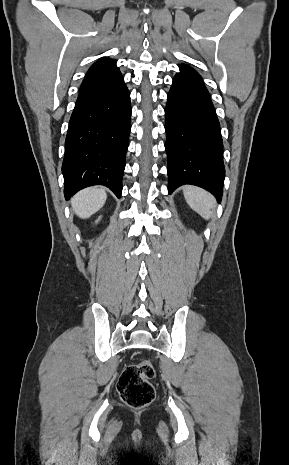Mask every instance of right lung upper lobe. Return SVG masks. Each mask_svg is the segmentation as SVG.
<instances>
[{"instance_id":"cb5924a9","label":"right lung upper lobe","mask_w":289,"mask_h":465,"mask_svg":"<svg viewBox=\"0 0 289 465\" xmlns=\"http://www.w3.org/2000/svg\"><path fill=\"white\" fill-rule=\"evenodd\" d=\"M122 77L116 62L103 57L95 62L88 70L80 91L98 89L108 86Z\"/></svg>"}]
</instances>
